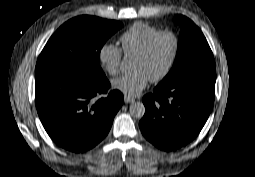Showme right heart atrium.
I'll return each instance as SVG.
<instances>
[{
	"label": "right heart atrium",
	"mask_w": 255,
	"mask_h": 177,
	"mask_svg": "<svg viewBox=\"0 0 255 177\" xmlns=\"http://www.w3.org/2000/svg\"><path fill=\"white\" fill-rule=\"evenodd\" d=\"M98 58L109 75L118 74L122 62V50L117 45L104 43L98 51Z\"/></svg>",
	"instance_id": "obj_1"
}]
</instances>
